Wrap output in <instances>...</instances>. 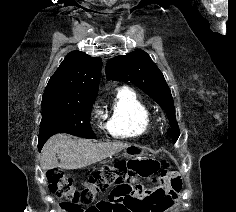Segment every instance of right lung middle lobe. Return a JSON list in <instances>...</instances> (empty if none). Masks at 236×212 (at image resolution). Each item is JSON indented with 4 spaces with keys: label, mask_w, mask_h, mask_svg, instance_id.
<instances>
[{
    "label": "right lung middle lobe",
    "mask_w": 236,
    "mask_h": 212,
    "mask_svg": "<svg viewBox=\"0 0 236 212\" xmlns=\"http://www.w3.org/2000/svg\"><path fill=\"white\" fill-rule=\"evenodd\" d=\"M95 98L79 100H42V120L38 137L41 150L49 137L69 133L83 138L96 136L90 126V111Z\"/></svg>",
    "instance_id": "right-lung-middle-lobe-1"
}]
</instances>
